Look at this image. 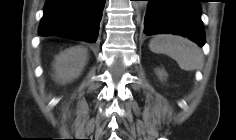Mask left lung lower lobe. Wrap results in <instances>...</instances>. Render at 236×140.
<instances>
[{"label":"left lung lower lobe","instance_id":"obj_1","mask_svg":"<svg viewBox=\"0 0 236 140\" xmlns=\"http://www.w3.org/2000/svg\"><path fill=\"white\" fill-rule=\"evenodd\" d=\"M200 0H149L144 33L186 36L199 46L205 43Z\"/></svg>","mask_w":236,"mask_h":140}]
</instances>
